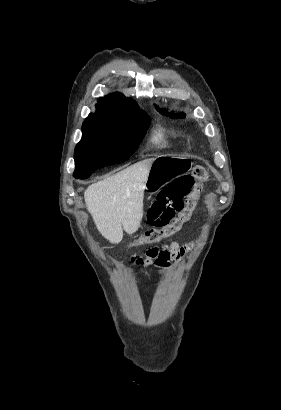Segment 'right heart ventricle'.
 Returning <instances> with one entry per match:
<instances>
[{"label": "right heart ventricle", "instance_id": "e07e8e85", "mask_svg": "<svg viewBox=\"0 0 281 410\" xmlns=\"http://www.w3.org/2000/svg\"><path fill=\"white\" fill-rule=\"evenodd\" d=\"M184 143L183 139L171 136L163 127L157 128L150 139L151 146L160 150H176Z\"/></svg>", "mask_w": 281, "mask_h": 410}]
</instances>
